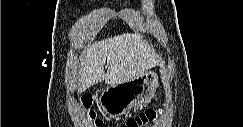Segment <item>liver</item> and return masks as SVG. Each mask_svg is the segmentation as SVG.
I'll list each match as a JSON object with an SVG mask.
<instances>
[{
  "label": "liver",
  "instance_id": "liver-1",
  "mask_svg": "<svg viewBox=\"0 0 243 127\" xmlns=\"http://www.w3.org/2000/svg\"><path fill=\"white\" fill-rule=\"evenodd\" d=\"M107 61V72L104 65ZM158 64L152 48L138 34H122L88 45L82 59L79 92L105 80L108 85L126 82Z\"/></svg>",
  "mask_w": 243,
  "mask_h": 127
}]
</instances>
